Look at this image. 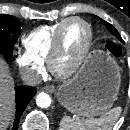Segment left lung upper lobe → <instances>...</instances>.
Listing matches in <instances>:
<instances>
[{"mask_svg":"<svg viewBox=\"0 0 130 130\" xmlns=\"http://www.w3.org/2000/svg\"><path fill=\"white\" fill-rule=\"evenodd\" d=\"M101 22L106 26V28L116 37L118 38L120 41L123 42L120 34L118 33V31L111 25L109 24L108 22L104 21L101 19Z\"/></svg>","mask_w":130,"mask_h":130,"instance_id":"left-lung-upper-lobe-1","label":"left lung upper lobe"}]
</instances>
